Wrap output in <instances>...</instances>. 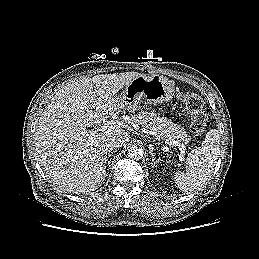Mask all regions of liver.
<instances>
[{
	"label": "liver",
	"mask_w": 259,
	"mask_h": 259,
	"mask_svg": "<svg viewBox=\"0 0 259 259\" xmlns=\"http://www.w3.org/2000/svg\"><path fill=\"white\" fill-rule=\"evenodd\" d=\"M140 75L125 72L84 77L52 97L39 119L34 146L53 184L75 194L101 186L106 175L108 140L117 137L127 143L130 134L116 128L91 136L87 128L124 109L116 94Z\"/></svg>",
	"instance_id": "liver-1"
}]
</instances>
